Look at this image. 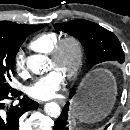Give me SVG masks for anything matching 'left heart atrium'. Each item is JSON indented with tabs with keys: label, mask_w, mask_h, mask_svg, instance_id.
<instances>
[{
	"label": "left heart atrium",
	"mask_w": 130,
	"mask_h": 130,
	"mask_svg": "<svg viewBox=\"0 0 130 130\" xmlns=\"http://www.w3.org/2000/svg\"><path fill=\"white\" fill-rule=\"evenodd\" d=\"M64 84V75L57 69L37 78L27 88L30 97L37 100H48L57 94Z\"/></svg>",
	"instance_id": "39dd6f15"
}]
</instances>
